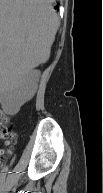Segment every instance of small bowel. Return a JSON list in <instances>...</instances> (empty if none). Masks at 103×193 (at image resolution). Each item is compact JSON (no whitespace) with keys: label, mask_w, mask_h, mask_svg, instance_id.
<instances>
[{"label":"small bowel","mask_w":103,"mask_h":193,"mask_svg":"<svg viewBox=\"0 0 103 193\" xmlns=\"http://www.w3.org/2000/svg\"><path fill=\"white\" fill-rule=\"evenodd\" d=\"M6 123H7V119L4 117V118H3V125H5ZM13 138H14V134L12 133V138H11V140H8L7 142L10 143ZM2 155H3V156L5 155V152H4V151H2Z\"/></svg>","instance_id":"c3829d8e"}]
</instances>
